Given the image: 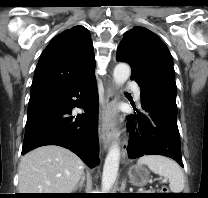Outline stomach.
I'll use <instances>...</instances> for the list:
<instances>
[{
  "mask_svg": "<svg viewBox=\"0 0 208 198\" xmlns=\"http://www.w3.org/2000/svg\"><path fill=\"white\" fill-rule=\"evenodd\" d=\"M130 183L134 186H145L150 178L149 171L141 165H134L128 171Z\"/></svg>",
  "mask_w": 208,
  "mask_h": 198,
  "instance_id": "1",
  "label": "stomach"
}]
</instances>
